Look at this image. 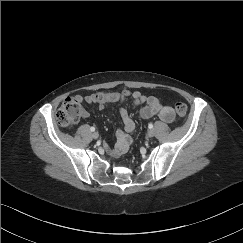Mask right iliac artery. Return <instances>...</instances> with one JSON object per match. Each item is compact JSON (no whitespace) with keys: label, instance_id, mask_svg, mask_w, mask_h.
Here are the masks:
<instances>
[{"label":"right iliac artery","instance_id":"right-iliac-artery-1","mask_svg":"<svg viewBox=\"0 0 243 243\" xmlns=\"http://www.w3.org/2000/svg\"><path fill=\"white\" fill-rule=\"evenodd\" d=\"M90 130H91L92 132H94V131H95V127H91Z\"/></svg>","mask_w":243,"mask_h":243}]
</instances>
